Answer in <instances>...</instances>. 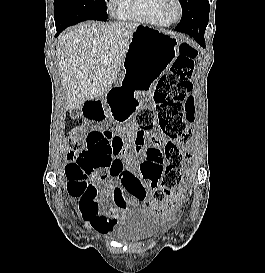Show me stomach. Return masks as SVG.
I'll return each mask as SVG.
<instances>
[{
	"label": "stomach",
	"mask_w": 265,
	"mask_h": 273,
	"mask_svg": "<svg viewBox=\"0 0 265 273\" xmlns=\"http://www.w3.org/2000/svg\"><path fill=\"white\" fill-rule=\"evenodd\" d=\"M177 50L178 42L173 36L151 26H139L131 37L115 90H135V95H146L153 81L173 62Z\"/></svg>",
	"instance_id": "stomach-1"
}]
</instances>
